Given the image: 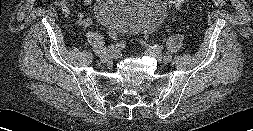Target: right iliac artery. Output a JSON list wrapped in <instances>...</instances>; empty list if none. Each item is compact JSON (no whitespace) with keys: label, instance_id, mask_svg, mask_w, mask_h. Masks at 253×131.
<instances>
[{"label":"right iliac artery","instance_id":"1","mask_svg":"<svg viewBox=\"0 0 253 131\" xmlns=\"http://www.w3.org/2000/svg\"><path fill=\"white\" fill-rule=\"evenodd\" d=\"M123 46H124L123 43H118L116 45H110V46H107V47H103L100 50H96L95 54L98 55V56H101V55H105L107 53L116 52L119 49H121Z\"/></svg>","mask_w":253,"mask_h":131}]
</instances>
